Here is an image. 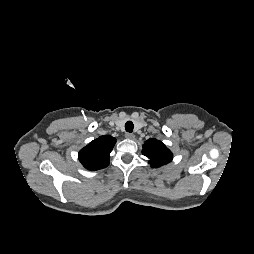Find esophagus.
I'll return each instance as SVG.
<instances>
[{
	"mask_svg": "<svg viewBox=\"0 0 254 254\" xmlns=\"http://www.w3.org/2000/svg\"><path fill=\"white\" fill-rule=\"evenodd\" d=\"M125 137H126L127 139H130V140H132V139L135 138L134 134H132V133H126V134H125Z\"/></svg>",
	"mask_w": 254,
	"mask_h": 254,
	"instance_id": "obj_1",
	"label": "esophagus"
}]
</instances>
